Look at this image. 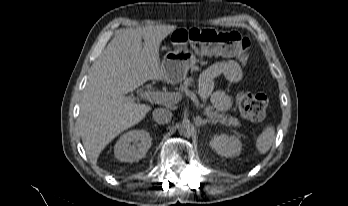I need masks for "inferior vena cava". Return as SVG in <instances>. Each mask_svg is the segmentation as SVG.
<instances>
[{
	"label": "inferior vena cava",
	"instance_id": "inferior-vena-cava-1",
	"mask_svg": "<svg viewBox=\"0 0 348 206\" xmlns=\"http://www.w3.org/2000/svg\"><path fill=\"white\" fill-rule=\"evenodd\" d=\"M153 119L158 124H166L169 123L172 119V112L165 108H157L152 113Z\"/></svg>",
	"mask_w": 348,
	"mask_h": 206
}]
</instances>
